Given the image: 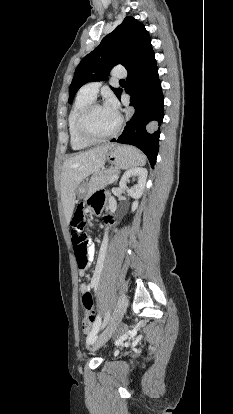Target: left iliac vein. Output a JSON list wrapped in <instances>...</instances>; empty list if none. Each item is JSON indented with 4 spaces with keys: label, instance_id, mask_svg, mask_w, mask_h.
Returning a JSON list of instances; mask_svg holds the SVG:
<instances>
[{
    "label": "left iliac vein",
    "instance_id": "1",
    "mask_svg": "<svg viewBox=\"0 0 233 414\" xmlns=\"http://www.w3.org/2000/svg\"><path fill=\"white\" fill-rule=\"evenodd\" d=\"M127 304H128L127 297L124 294L121 295L120 298L118 299V302L116 304L115 310L113 312V315L110 319L109 324L99 336L98 340L96 341L95 345L92 348V351L99 349L114 334V332L116 331L117 327L119 326L126 312Z\"/></svg>",
    "mask_w": 233,
    "mask_h": 414
}]
</instances>
